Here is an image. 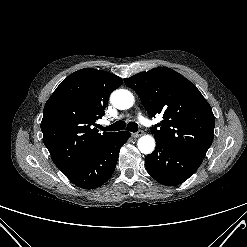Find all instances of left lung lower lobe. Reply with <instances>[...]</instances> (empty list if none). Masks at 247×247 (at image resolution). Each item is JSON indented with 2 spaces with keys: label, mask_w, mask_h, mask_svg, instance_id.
I'll list each match as a JSON object with an SVG mask.
<instances>
[{
  "label": "left lung lower lobe",
  "mask_w": 247,
  "mask_h": 247,
  "mask_svg": "<svg viewBox=\"0 0 247 247\" xmlns=\"http://www.w3.org/2000/svg\"><path fill=\"white\" fill-rule=\"evenodd\" d=\"M202 161V157L157 141L155 151L145 157L148 173L157 182L166 186H175L186 181L199 168Z\"/></svg>",
  "instance_id": "0a47b994"
}]
</instances>
